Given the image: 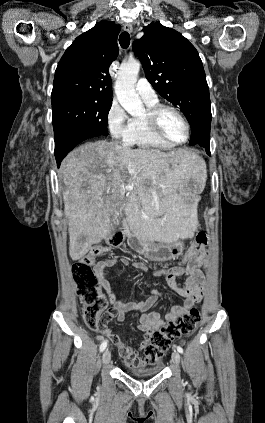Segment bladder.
I'll return each instance as SVG.
<instances>
[{
  "instance_id": "1",
  "label": "bladder",
  "mask_w": 265,
  "mask_h": 423,
  "mask_svg": "<svg viewBox=\"0 0 265 423\" xmlns=\"http://www.w3.org/2000/svg\"><path fill=\"white\" fill-rule=\"evenodd\" d=\"M162 370L161 365L151 368H128L127 373L136 377H150L159 374Z\"/></svg>"
}]
</instances>
